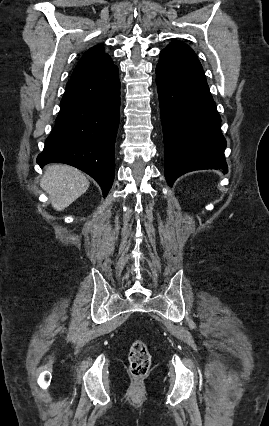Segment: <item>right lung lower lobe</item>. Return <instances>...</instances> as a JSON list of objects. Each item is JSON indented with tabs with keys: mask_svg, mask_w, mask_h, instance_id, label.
<instances>
[{
	"mask_svg": "<svg viewBox=\"0 0 269 426\" xmlns=\"http://www.w3.org/2000/svg\"><path fill=\"white\" fill-rule=\"evenodd\" d=\"M117 66L98 74L71 78L55 126L37 163L60 162L94 178L103 196L115 174V139L119 126L120 80Z\"/></svg>",
	"mask_w": 269,
	"mask_h": 426,
	"instance_id": "1",
	"label": "right lung lower lobe"
}]
</instances>
